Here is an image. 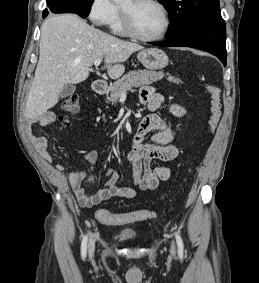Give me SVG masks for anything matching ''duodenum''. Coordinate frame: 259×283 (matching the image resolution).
<instances>
[{
  "label": "duodenum",
  "instance_id": "1",
  "mask_svg": "<svg viewBox=\"0 0 259 283\" xmlns=\"http://www.w3.org/2000/svg\"><path fill=\"white\" fill-rule=\"evenodd\" d=\"M93 90L96 94H105L107 92V84L104 81L96 80L93 83Z\"/></svg>",
  "mask_w": 259,
  "mask_h": 283
}]
</instances>
